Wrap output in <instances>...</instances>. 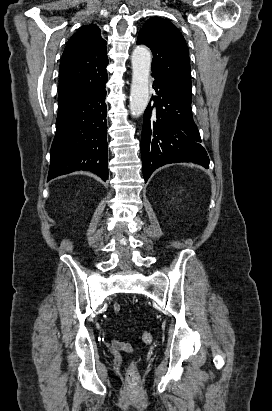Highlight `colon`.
Wrapping results in <instances>:
<instances>
[{
    "label": "colon",
    "instance_id": "5ec220e1",
    "mask_svg": "<svg viewBox=\"0 0 272 411\" xmlns=\"http://www.w3.org/2000/svg\"><path fill=\"white\" fill-rule=\"evenodd\" d=\"M142 340L145 343L152 342L153 334L148 331L143 332ZM127 383L130 387H136L139 384V373H138L137 365L135 362H132L128 367Z\"/></svg>",
    "mask_w": 272,
    "mask_h": 411
}]
</instances>
